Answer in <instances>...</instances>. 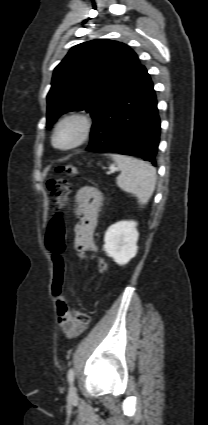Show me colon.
<instances>
[{"label":"colon","mask_w":208,"mask_h":425,"mask_svg":"<svg viewBox=\"0 0 208 425\" xmlns=\"http://www.w3.org/2000/svg\"><path fill=\"white\" fill-rule=\"evenodd\" d=\"M56 171L69 178L76 177L78 175V170L73 165L59 166ZM47 188L53 199L58 204L56 213L47 230L46 245L52 253V260L54 264L51 291L55 298H59L63 296L65 278L64 260L62 256L66 249L64 242L65 228L63 221V203L70 192V186L65 178H52L48 180ZM75 251L80 258L89 259L84 250L75 247ZM95 262L97 269L100 272L106 271L107 264L103 258H96ZM71 313L76 322L83 327H86L91 321V317L87 313L74 310H72Z\"/></svg>","instance_id":"colon-1"}]
</instances>
